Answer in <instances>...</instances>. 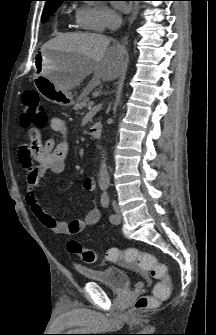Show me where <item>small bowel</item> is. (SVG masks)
<instances>
[{"label":"small bowel","instance_id":"small-bowel-1","mask_svg":"<svg viewBox=\"0 0 216 335\" xmlns=\"http://www.w3.org/2000/svg\"><path fill=\"white\" fill-rule=\"evenodd\" d=\"M50 127L60 136L58 141L50 138L42 142V132L38 131L36 124H31L27 129V134L31 138L30 143L19 150V163L26 176L25 200L35 217L53 233L76 235L87 227L97 224L101 215L98 208L90 207L84 218L60 221L48 214L41 206L37 188L48 175L64 172L70 149L65 121L60 117H53L50 120ZM83 187L87 191H92L95 188V179L87 177Z\"/></svg>","mask_w":216,"mask_h":335}]
</instances>
